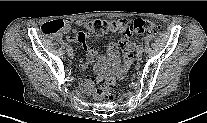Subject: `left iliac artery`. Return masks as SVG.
Listing matches in <instances>:
<instances>
[{
	"label": "left iliac artery",
	"instance_id": "1",
	"mask_svg": "<svg viewBox=\"0 0 207 123\" xmlns=\"http://www.w3.org/2000/svg\"><path fill=\"white\" fill-rule=\"evenodd\" d=\"M137 50L143 51V46H142L141 44H139V45L137 46Z\"/></svg>",
	"mask_w": 207,
	"mask_h": 123
}]
</instances>
